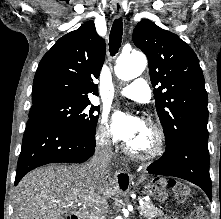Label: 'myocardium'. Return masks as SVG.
Returning <instances> with one entry per match:
<instances>
[{"mask_svg":"<svg viewBox=\"0 0 221 219\" xmlns=\"http://www.w3.org/2000/svg\"><path fill=\"white\" fill-rule=\"evenodd\" d=\"M144 127L151 133L152 144L145 151H138L132 148L128 142L123 144L124 152L136 159L151 160L158 157L165 148V135L163 129L155 122L147 120L144 122Z\"/></svg>","mask_w":221,"mask_h":219,"instance_id":"1","label":"myocardium"}]
</instances>
